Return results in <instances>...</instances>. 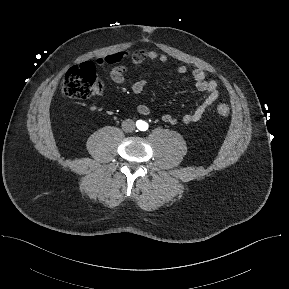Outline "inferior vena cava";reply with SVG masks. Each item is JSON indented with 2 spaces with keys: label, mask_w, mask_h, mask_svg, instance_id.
Segmentation results:
<instances>
[{
  "label": "inferior vena cava",
  "mask_w": 289,
  "mask_h": 289,
  "mask_svg": "<svg viewBox=\"0 0 289 289\" xmlns=\"http://www.w3.org/2000/svg\"><path fill=\"white\" fill-rule=\"evenodd\" d=\"M122 129L125 132H133L135 130V123L131 119H126L122 122Z\"/></svg>",
  "instance_id": "inferior-vena-cava-1"
}]
</instances>
